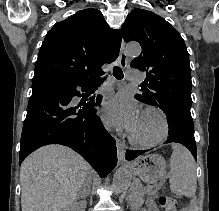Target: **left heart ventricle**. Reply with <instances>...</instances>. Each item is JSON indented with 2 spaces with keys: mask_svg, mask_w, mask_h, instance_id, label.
I'll return each instance as SVG.
<instances>
[{
  "mask_svg": "<svg viewBox=\"0 0 219 211\" xmlns=\"http://www.w3.org/2000/svg\"><path fill=\"white\" fill-rule=\"evenodd\" d=\"M162 129V120L155 112L141 114L139 120L131 131L133 135L141 139H152L158 136Z\"/></svg>",
  "mask_w": 219,
  "mask_h": 211,
  "instance_id": "obj_1",
  "label": "left heart ventricle"
}]
</instances>
